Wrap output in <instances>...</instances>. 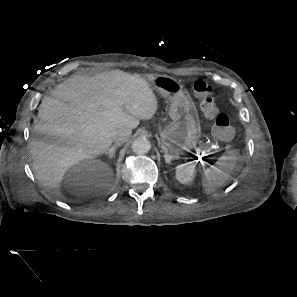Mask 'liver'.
<instances>
[{"label":"liver","mask_w":297,"mask_h":297,"mask_svg":"<svg viewBox=\"0 0 297 297\" xmlns=\"http://www.w3.org/2000/svg\"><path fill=\"white\" fill-rule=\"evenodd\" d=\"M52 95L39 107L30 153L37 179L55 194L70 167L105 153L116 130L135 129L158 106L144 78L121 70L69 78Z\"/></svg>","instance_id":"6515ba94"}]
</instances>
